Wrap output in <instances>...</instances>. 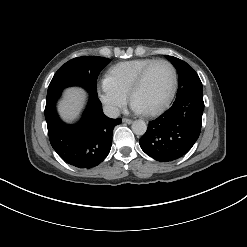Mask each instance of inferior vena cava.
<instances>
[{
  "label": "inferior vena cava",
  "instance_id": "obj_1",
  "mask_svg": "<svg viewBox=\"0 0 247 247\" xmlns=\"http://www.w3.org/2000/svg\"><path fill=\"white\" fill-rule=\"evenodd\" d=\"M104 114L110 118H117L120 115V110L115 106H104Z\"/></svg>",
  "mask_w": 247,
  "mask_h": 247
}]
</instances>
